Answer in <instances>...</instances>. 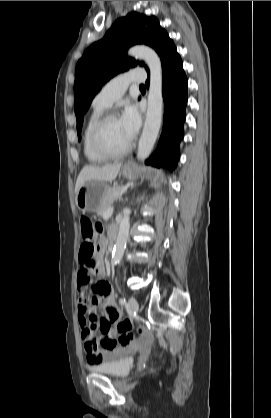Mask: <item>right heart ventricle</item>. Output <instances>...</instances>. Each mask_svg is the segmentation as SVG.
I'll return each mask as SVG.
<instances>
[{
    "label": "right heart ventricle",
    "mask_w": 271,
    "mask_h": 418,
    "mask_svg": "<svg viewBox=\"0 0 271 418\" xmlns=\"http://www.w3.org/2000/svg\"><path fill=\"white\" fill-rule=\"evenodd\" d=\"M103 108H99V107H93L92 112L90 113L86 124L84 126V130H83V152L84 155L86 157V159L91 162V163H103L105 162L108 158L104 157L102 155H100L99 153H97L91 143V133L93 130L94 125L96 124V122L98 121V119L103 115L104 113Z\"/></svg>",
    "instance_id": "obj_1"
}]
</instances>
